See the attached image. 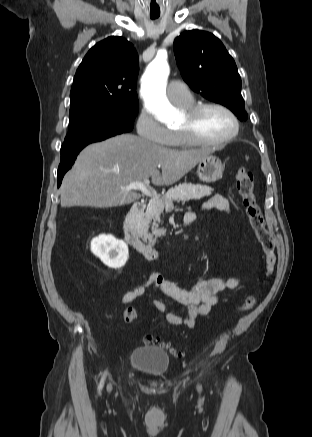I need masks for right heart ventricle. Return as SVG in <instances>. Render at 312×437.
Returning <instances> with one entry per match:
<instances>
[{
  "mask_svg": "<svg viewBox=\"0 0 312 437\" xmlns=\"http://www.w3.org/2000/svg\"><path fill=\"white\" fill-rule=\"evenodd\" d=\"M194 104L193 99L191 102L183 105H179L182 108L186 109ZM170 146H177V147H186L190 146V144L183 138L182 134L179 130L172 132V138L170 143L168 144Z\"/></svg>",
  "mask_w": 312,
  "mask_h": 437,
  "instance_id": "right-heart-ventricle-1",
  "label": "right heart ventricle"
}]
</instances>
